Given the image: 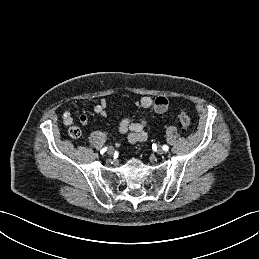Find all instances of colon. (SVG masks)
Listing matches in <instances>:
<instances>
[{
	"label": "colon",
	"mask_w": 259,
	"mask_h": 259,
	"mask_svg": "<svg viewBox=\"0 0 259 259\" xmlns=\"http://www.w3.org/2000/svg\"><path fill=\"white\" fill-rule=\"evenodd\" d=\"M175 121L182 129H188L191 125V118L186 113L176 115ZM68 133L72 138H78L81 135L80 129L76 126H71Z\"/></svg>",
	"instance_id": "5ec220e1"
}]
</instances>
